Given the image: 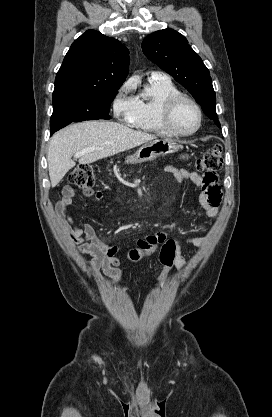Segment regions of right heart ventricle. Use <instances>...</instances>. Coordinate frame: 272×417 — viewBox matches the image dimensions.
Segmentation results:
<instances>
[{"mask_svg": "<svg viewBox=\"0 0 272 417\" xmlns=\"http://www.w3.org/2000/svg\"><path fill=\"white\" fill-rule=\"evenodd\" d=\"M180 93L169 78H148L141 92L134 98V113L128 122L133 128L163 137L172 136L162 125L160 113L164 101Z\"/></svg>", "mask_w": 272, "mask_h": 417, "instance_id": "right-heart-ventricle-1", "label": "right heart ventricle"}]
</instances>
